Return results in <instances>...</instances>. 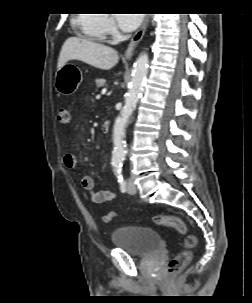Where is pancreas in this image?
Instances as JSON below:
<instances>
[{"mask_svg":"<svg viewBox=\"0 0 252 303\" xmlns=\"http://www.w3.org/2000/svg\"><path fill=\"white\" fill-rule=\"evenodd\" d=\"M105 79L104 78H97L96 80H95V84H96V86H97V88H100V87H103V86H105Z\"/></svg>","mask_w":252,"mask_h":303,"instance_id":"obj_1","label":"pancreas"}]
</instances>
